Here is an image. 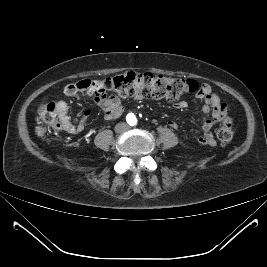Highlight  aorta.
Returning a JSON list of instances; mask_svg holds the SVG:
<instances>
[{"mask_svg":"<svg viewBox=\"0 0 267 267\" xmlns=\"http://www.w3.org/2000/svg\"><path fill=\"white\" fill-rule=\"evenodd\" d=\"M128 121H129L130 123L135 124V123H136V117H135L134 115H129V116H128Z\"/></svg>","mask_w":267,"mask_h":267,"instance_id":"aorta-1","label":"aorta"}]
</instances>
